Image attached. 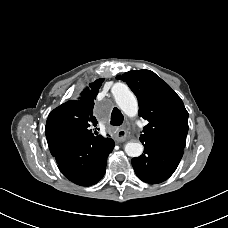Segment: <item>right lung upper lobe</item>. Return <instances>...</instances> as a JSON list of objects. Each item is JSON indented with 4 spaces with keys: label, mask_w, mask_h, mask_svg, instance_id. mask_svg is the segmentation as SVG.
I'll return each mask as SVG.
<instances>
[{
    "label": "right lung upper lobe",
    "mask_w": 228,
    "mask_h": 228,
    "mask_svg": "<svg viewBox=\"0 0 228 228\" xmlns=\"http://www.w3.org/2000/svg\"><path fill=\"white\" fill-rule=\"evenodd\" d=\"M103 82L104 79L101 78L90 83L77 100L67 101L49 114L45 126L49 146L77 138H103L92 129L98 123L93 115V107Z\"/></svg>",
    "instance_id": "right-lung-upper-lobe-1"
}]
</instances>
